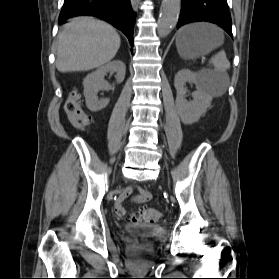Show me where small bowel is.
Listing matches in <instances>:
<instances>
[{
  "label": "small bowel",
  "mask_w": 279,
  "mask_h": 279,
  "mask_svg": "<svg viewBox=\"0 0 279 279\" xmlns=\"http://www.w3.org/2000/svg\"><path fill=\"white\" fill-rule=\"evenodd\" d=\"M149 193L143 189L134 190L129 188L125 190L116 200L115 202V212L119 216H123L125 214V208L123 207V201L128 198L132 197L133 200L137 202H145L149 199Z\"/></svg>",
  "instance_id": "c3829d8e"
}]
</instances>
